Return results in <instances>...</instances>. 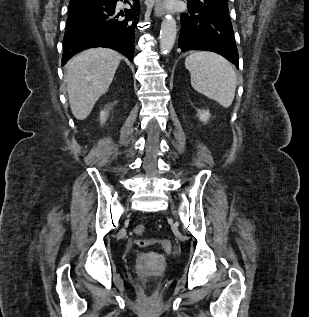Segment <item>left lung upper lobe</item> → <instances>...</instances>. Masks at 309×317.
I'll return each instance as SVG.
<instances>
[{"mask_svg":"<svg viewBox=\"0 0 309 317\" xmlns=\"http://www.w3.org/2000/svg\"><path fill=\"white\" fill-rule=\"evenodd\" d=\"M188 6L229 14L228 0H187Z\"/></svg>","mask_w":309,"mask_h":317,"instance_id":"5c2ea615","label":"left lung upper lobe"}]
</instances>
